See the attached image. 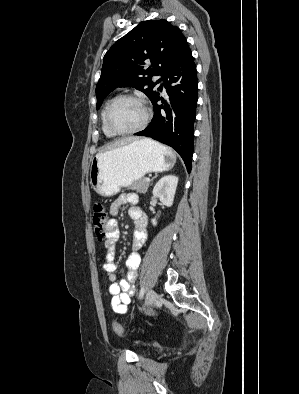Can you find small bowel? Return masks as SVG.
<instances>
[{"instance_id": "1", "label": "small bowel", "mask_w": 299, "mask_h": 394, "mask_svg": "<svg viewBox=\"0 0 299 394\" xmlns=\"http://www.w3.org/2000/svg\"><path fill=\"white\" fill-rule=\"evenodd\" d=\"M138 202L137 194L125 193L115 199L110 207L111 215L115 216L122 206L129 204L131 207L128 214L135 224L132 240L133 252L129 254L126 260V277L118 281H116L117 265L115 263V250L120 237L119 224L115 218L109 219L106 224V260L103 268L111 282L108 290L112 296V308L118 314H125L129 311L131 297L135 294L134 282L137 278L141 259L138 250L144 245L147 237V217L143 209L138 205Z\"/></svg>"}]
</instances>
